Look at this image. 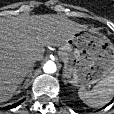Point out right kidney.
I'll return each mask as SVG.
<instances>
[{
    "instance_id": "obj_1",
    "label": "right kidney",
    "mask_w": 114,
    "mask_h": 114,
    "mask_svg": "<svg viewBox=\"0 0 114 114\" xmlns=\"http://www.w3.org/2000/svg\"><path fill=\"white\" fill-rule=\"evenodd\" d=\"M16 93H20V90H18Z\"/></svg>"
}]
</instances>
